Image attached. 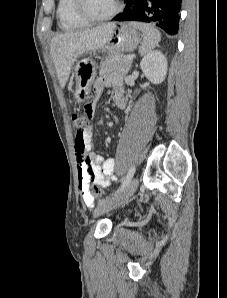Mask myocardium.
<instances>
[{"label": "myocardium", "instance_id": "f54148a6", "mask_svg": "<svg viewBox=\"0 0 227 298\" xmlns=\"http://www.w3.org/2000/svg\"><path fill=\"white\" fill-rule=\"evenodd\" d=\"M122 7H123L122 1L117 0V4L115 8L110 13L104 16H95L89 11L87 0H76V10L78 15L81 18L88 21L89 23H100V22L108 21L113 17H115L122 10Z\"/></svg>", "mask_w": 227, "mask_h": 298}]
</instances>
